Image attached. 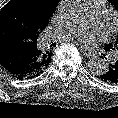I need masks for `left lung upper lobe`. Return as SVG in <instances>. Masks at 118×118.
Wrapping results in <instances>:
<instances>
[{"label":"left lung upper lobe","instance_id":"obj_1","mask_svg":"<svg viewBox=\"0 0 118 118\" xmlns=\"http://www.w3.org/2000/svg\"><path fill=\"white\" fill-rule=\"evenodd\" d=\"M118 10V0H108ZM106 51H113L118 56V41L115 44L105 46Z\"/></svg>","mask_w":118,"mask_h":118}]
</instances>
